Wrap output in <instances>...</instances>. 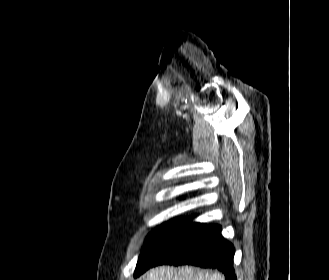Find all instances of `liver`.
<instances>
[{
  "instance_id": "1",
  "label": "liver",
  "mask_w": 329,
  "mask_h": 280,
  "mask_svg": "<svg viewBox=\"0 0 329 280\" xmlns=\"http://www.w3.org/2000/svg\"><path fill=\"white\" fill-rule=\"evenodd\" d=\"M139 280H223L219 273L201 271L191 266H161L148 271Z\"/></svg>"
}]
</instances>
